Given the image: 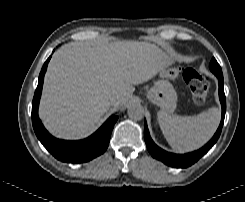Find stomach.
Listing matches in <instances>:
<instances>
[{
    "label": "stomach",
    "mask_w": 245,
    "mask_h": 202,
    "mask_svg": "<svg viewBox=\"0 0 245 202\" xmlns=\"http://www.w3.org/2000/svg\"><path fill=\"white\" fill-rule=\"evenodd\" d=\"M148 100L160 107L166 113H173L176 109L177 93L168 80H159L147 91Z\"/></svg>",
    "instance_id": "obj_1"
}]
</instances>
